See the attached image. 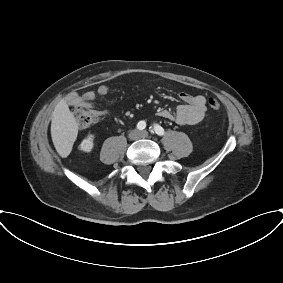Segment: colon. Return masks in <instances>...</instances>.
Masks as SVG:
<instances>
[{
    "label": "colon",
    "instance_id": "colon-1",
    "mask_svg": "<svg viewBox=\"0 0 283 283\" xmlns=\"http://www.w3.org/2000/svg\"><path fill=\"white\" fill-rule=\"evenodd\" d=\"M207 103L209 108L213 111H218L221 107L220 102L215 97L208 98ZM73 114L77 124L82 128L89 127L98 120V115L85 106L76 107Z\"/></svg>",
    "mask_w": 283,
    "mask_h": 283
}]
</instances>
